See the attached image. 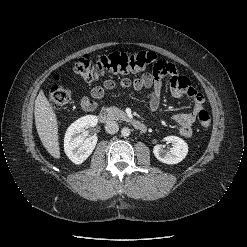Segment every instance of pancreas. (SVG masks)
Wrapping results in <instances>:
<instances>
[{
  "instance_id": "1",
  "label": "pancreas",
  "mask_w": 247,
  "mask_h": 247,
  "mask_svg": "<svg viewBox=\"0 0 247 247\" xmlns=\"http://www.w3.org/2000/svg\"><path fill=\"white\" fill-rule=\"evenodd\" d=\"M108 112H109V116L111 119H114V120H127V116L126 114L120 110L119 108L117 107H110L108 109Z\"/></svg>"
}]
</instances>
